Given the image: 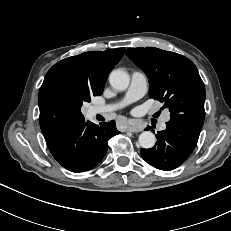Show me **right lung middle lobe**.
Returning <instances> with one entry per match:
<instances>
[{
	"label": "right lung middle lobe",
	"mask_w": 231,
	"mask_h": 231,
	"mask_svg": "<svg viewBox=\"0 0 231 231\" xmlns=\"http://www.w3.org/2000/svg\"><path fill=\"white\" fill-rule=\"evenodd\" d=\"M90 101H91L90 95H86L85 97H83L81 99V105H82L83 102H90Z\"/></svg>",
	"instance_id": "obj_1"
}]
</instances>
